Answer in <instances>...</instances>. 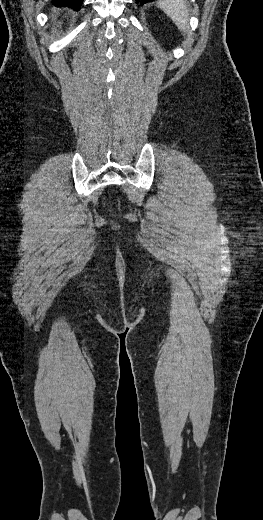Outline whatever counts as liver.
<instances>
[{"label": "liver", "instance_id": "1", "mask_svg": "<svg viewBox=\"0 0 263 520\" xmlns=\"http://www.w3.org/2000/svg\"><path fill=\"white\" fill-rule=\"evenodd\" d=\"M54 11H55V9H54ZM52 18H54V15H52Z\"/></svg>", "mask_w": 263, "mask_h": 520}]
</instances>
